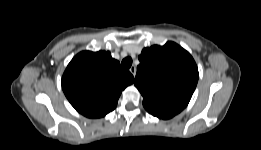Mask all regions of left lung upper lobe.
<instances>
[{
  "mask_svg": "<svg viewBox=\"0 0 261 150\" xmlns=\"http://www.w3.org/2000/svg\"><path fill=\"white\" fill-rule=\"evenodd\" d=\"M135 86L143 106L152 115L169 119L189 103L198 82V68L192 56L174 42L144 48L138 57Z\"/></svg>",
  "mask_w": 261,
  "mask_h": 150,
  "instance_id": "obj_1",
  "label": "left lung upper lobe"
}]
</instances>
